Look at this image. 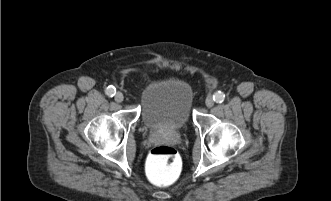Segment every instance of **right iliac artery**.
<instances>
[{"mask_svg": "<svg viewBox=\"0 0 331 201\" xmlns=\"http://www.w3.org/2000/svg\"><path fill=\"white\" fill-rule=\"evenodd\" d=\"M106 94L108 95V96H110V97H112V96H114L115 95V93H116V89H115V87H113V86H108L107 88H106Z\"/></svg>", "mask_w": 331, "mask_h": 201, "instance_id": "obj_1", "label": "right iliac artery"}]
</instances>
